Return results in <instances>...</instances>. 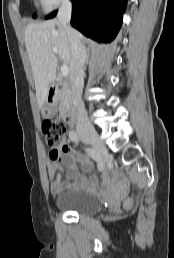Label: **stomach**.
I'll return each instance as SVG.
<instances>
[{
    "label": "stomach",
    "instance_id": "1",
    "mask_svg": "<svg viewBox=\"0 0 174 258\" xmlns=\"http://www.w3.org/2000/svg\"><path fill=\"white\" fill-rule=\"evenodd\" d=\"M41 113L43 117H50L53 115V109L50 105H45L42 109H41Z\"/></svg>",
    "mask_w": 174,
    "mask_h": 258
}]
</instances>
